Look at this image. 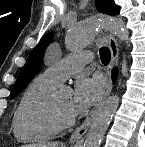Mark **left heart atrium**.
Wrapping results in <instances>:
<instances>
[{
    "label": "left heart atrium",
    "instance_id": "obj_1",
    "mask_svg": "<svg viewBox=\"0 0 145 147\" xmlns=\"http://www.w3.org/2000/svg\"><path fill=\"white\" fill-rule=\"evenodd\" d=\"M103 88L102 79L98 76L78 79L71 100L70 113L79 115L87 111L99 98Z\"/></svg>",
    "mask_w": 145,
    "mask_h": 147
}]
</instances>
